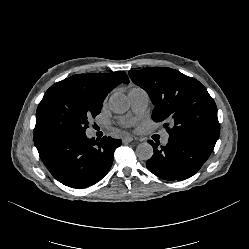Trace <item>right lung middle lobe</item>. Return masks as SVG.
Wrapping results in <instances>:
<instances>
[{"mask_svg": "<svg viewBox=\"0 0 249 249\" xmlns=\"http://www.w3.org/2000/svg\"><path fill=\"white\" fill-rule=\"evenodd\" d=\"M102 102L74 86H51L36 112V133L85 132L89 119L101 112Z\"/></svg>", "mask_w": 249, "mask_h": 249, "instance_id": "obj_1", "label": "right lung middle lobe"}]
</instances>
